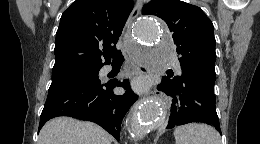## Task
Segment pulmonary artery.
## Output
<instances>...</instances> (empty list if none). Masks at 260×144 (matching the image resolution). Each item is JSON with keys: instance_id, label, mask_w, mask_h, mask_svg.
<instances>
[{"instance_id": "obj_1", "label": "pulmonary artery", "mask_w": 260, "mask_h": 144, "mask_svg": "<svg viewBox=\"0 0 260 144\" xmlns=\"http://www.w3.org/2000/svg\"><path fill=\"white\" fill-rule=\"evenodd\" d=\"M175 67H176L178 70H180V65H179V63H176V64H175ZM107 69H109V68H107Z\"/></svg>"}]
</instances>
